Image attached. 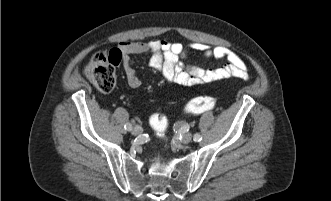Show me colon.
Here are the masks:
<instances>
[{
	"instance_id": "colon-1",
	"label": "colon",
	"mask_w": 331,
	"mask_h": 201,
	"mask_svg": "<svg viewBox=\"0 0 331 201\" xmlns=\"http://www.w3.org/2000/svg\"><path fill=\"white\" fill-rule=\"evenodd\" d=\"M88 80L101 92H111L116 84L114 59L105 53H97L85 69ZM217 105V100L212 96H199L190 100L185 111L190 114L212 111ZM150 123L158 135L164 134L167 129V120L161 114H154Z\"/></svg>"
}]
</instances>
